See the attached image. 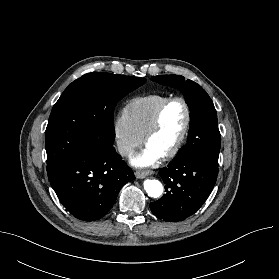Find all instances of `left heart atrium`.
I'll return each instance as SVG.
<instances>
[{"label": "left heart atrium", "instance_id": "1", "mask_svg": "<svg viewBox=\"0 0 279 279\" xmlns=\"http://www.w3.org/2000/svg\"><path fill=\"white\" fill-rule=\"evenodd\" d=\"M161 156L152 150L150 147H146V149L141 152L140 154L136 155L132 159V163L135 166H149L154 164Z\"/></svg>", "mask_w": 279, "mask_h": 279}]
</instances>
